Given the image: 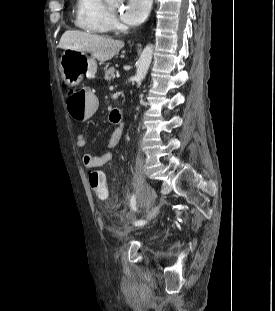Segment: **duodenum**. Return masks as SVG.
<instances>
[{"label":"duodenum","mask_w":275,"mask_h":311,"mask_svg":"<svg viewBox=\"0 0 275 311\" xmlns=\"http://www.w3.org/2000/svg\"><path fill=\"white\" fill-rule=\"evenodd\" d=\"M118 110L117 109H113L112 111H111V113H115V112H117ZM120 113V112H119Z\"/></svg>","instance_id":"obj_1"}]
</instances>
